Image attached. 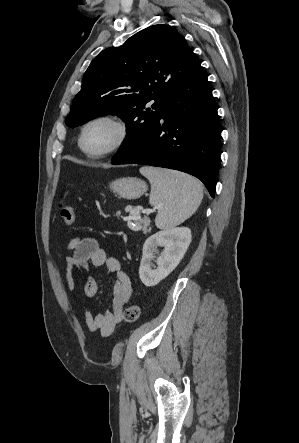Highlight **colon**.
<instances>
[{
	"instance_id": "5ec220e1",
	"label": "colon",
	"mask_w": 299,
	"mask_h": 443,
	"mask_svg": "<svg viewBox=\"0 0 299 443\" xmlns=\"http://www.w3.org/2000/svg\"><path fill=\"white\" fill-rule=\"evenodd\" d=\"M58 210L60 216L66 226H72L76 220V214L71 205L65 201H60L58 203ZM140 316V307L137 304H132L126 308L124 312V319L128 323H135Z\"/></svg>"
}]
</instances>
